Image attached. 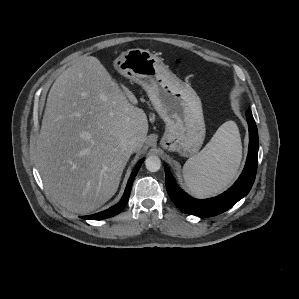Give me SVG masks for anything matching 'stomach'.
I'll use <instances>...</instances> for the list:
<instances>
[{
  "mask_svg": "<svg viewBox=\"0 0 299 299\" xmlns=\"http://www.w3.org/2000/svg\"><path fill=\"white\" fill-rule=\"evenodd\" d=\"M114 67L143 87L164 120L166 130L161 146L182 156L195 155L205 138L202 104L196 92L148 50L123 52L114 61Z\"/></svg>",
  "mask_w": 299,
  "mask_h": 299,
  "instance_id": "0dacf381",
  "label": "stomach"
}]
</instances>
